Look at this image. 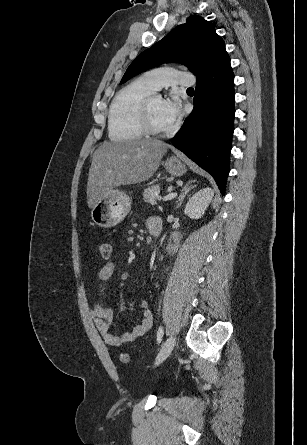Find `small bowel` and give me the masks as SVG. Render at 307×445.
Here are the masks:
<instances>
[{
    "mask_svg": "<svg viewBox=\"0 0 307 445\" xmlns=\"http://www.w3.org/2000/svg\"><path fill=\"white\" fill-rule=\"evenodd\" d=\"M147 228L149 232L153 230H158L161 232V220L155 216L150 217L147 220ZM115 269L116 267L113 262L105 263L99 270V281L102 283L107 282L113 276ZM140 308L142 310V319L140 322L133 328V330L123 333L120 336H116L109 330L113 318L112 310L105 308L99 299L96 300L92 306L91 315L103 341L110 346L121 347L145 335L152 328L153 313L149 307V303L146 300L141 301Z\"/></svg>",
    "mask_w": 307,
    "mask_h": 445,
    "instance_id": "obj_1",
    "label": "small bowel"
}]
</instances>
